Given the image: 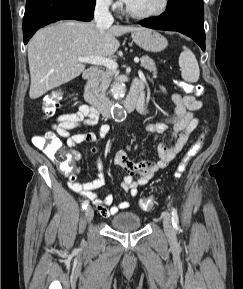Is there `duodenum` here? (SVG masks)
<instances>
[{"label":"duodenum","instance_id":"obj_1","mask_svg":"<svg viewBox=\"0 0 243 289\" xmlns=\"http://www.w3.org/2000/svg\"><path fill=\"white\" fill-rule=\"evenodd\" d=\"M98 70L94 67L88 68L83 73V79L85 81L83 88L84 100L96 110L102 117H113L118 109H122L126 112H132L134 110L142 112L145 104V93L142 87H132L128 96L119 104L113 101L103 100L96 96L92 89V82L97 76Z\"/></svg>","mask_w":243,"mask_h":289}]
</instances>
